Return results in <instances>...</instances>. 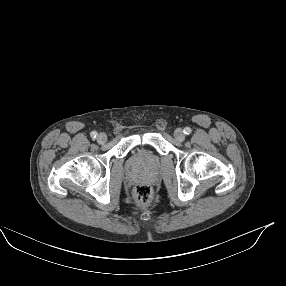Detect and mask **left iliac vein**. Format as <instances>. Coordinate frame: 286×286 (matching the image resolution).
I'll return each instance as SVG.
<instances>
[{"label":"left iliac vein","instance_id":"left-iliac-vein-1","mask_svg":"<svg viewBox=\"0 0 286 286\" xmlns=\"http://www.w3.org/2000/svg\"><path fill=\"white\" fill-rule=\"evenodd\" d=\"M174 136L178 141H183L185 139L184 131L180 128L176 129L174 132Z\"/></svg>","mask_w":286,"mask_h":286}]
</instances>
